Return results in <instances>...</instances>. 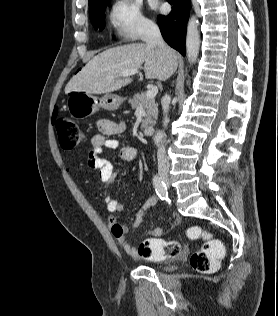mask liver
I'll return each mask as SVG.
<instances>
[{
	"instance_id": "6515ba94",
	"label": "liver",
	"mask_w": 278,
	"mask_h": 316,
	"mask_svg": "<svg viewBox=\"0 0 278 316\" xmlns=\"http://www.w3.org/2000/svg\"><path fill=\"white\" fill-rule=\"evenodd\" d=\"M144 64L147 79H168L177 68V56L169 48L164 52L157 46L145 43H133L108 49L93 57L85 67L74 75L65 87V93L85 92L103 94L120 90L130 84V76L119 74L126 70L138 69ZM107 76H114L107 79Z\"/></svg>"
}]
</instances>
